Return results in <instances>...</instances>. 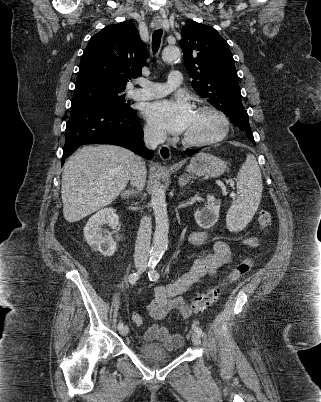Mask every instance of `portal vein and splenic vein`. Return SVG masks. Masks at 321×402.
I'll return each instance as SVG.
<instances>
[{"instance_id": "obj_1", "label": "portal vein and splenic vein", "mask_w": 321, "mask_h": 402, "mask_svg": "<svg viewBox=\"0 0 321 402\" xmlns=\"http://www.w3.org/2000/svg\"><path fill=\"white\" fill-rule=\"evenodd\" d=\"M232 185V184H231ZM231 196H235V194H231Z\"/></svg>"}]
</instances>
